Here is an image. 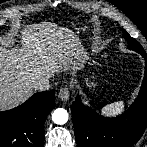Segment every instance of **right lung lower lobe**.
<instances>
[{
    "label": "right lung lower lobe",
    "mask_w": 147,
    "mask_h": 147,
    "mask_svg": "<svg viewBox=\"0 0 147 147\" xmlns=\"http://www.w3.org/2000/svg\"><path fill=\"white\" fill-rule=\"evenodd\" d=\"M55 90L39 92L19 107L0 112V147H43L44 123Z\"/></svg>",
    "instance_id": "obj_1"
}]
</instances>
